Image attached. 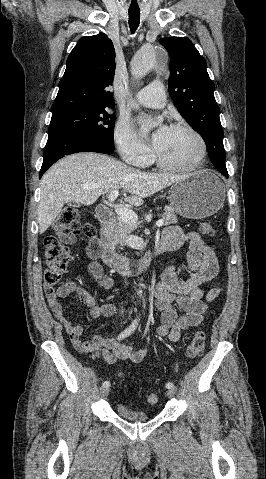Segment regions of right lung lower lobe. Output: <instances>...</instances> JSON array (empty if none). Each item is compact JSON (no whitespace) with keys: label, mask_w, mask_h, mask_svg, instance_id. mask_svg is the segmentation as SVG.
<instances>
[{"label":"right lung lower lobe","mask_w":266,"mask_h":479,"mask_svg":"<svg viewBox=\"0 0 266 479\" xmlns=\"http://www.w3.org/2000/svg\"><path fill=\"white\" fill-rule=\"evenodd\" d=\"M86 151L111 154L114 151V145L69 132H49L39 177L41 178L52 164L65 155Z\"/></svg>","instance_id":"right-lung-lower-lobe-1"}]
</instances>
